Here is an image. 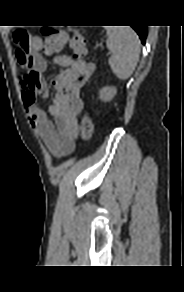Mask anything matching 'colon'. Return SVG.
Here are the masks:
<instances>
[{"mask_svg": "<svg viewBox=\"0 0 184 292\" xmlns=\"http://www.w3.org/2000/svg\"><path fill=\"white\" fill-rule=\"evenodd\" d=\"M42 35L44 38L42 49L47 55L60 52L67 42L73 50L75 58H83L87 55L85 39L78 31H73L72 36L68 39L65 31L44 27L42 28ZM13 38L20 52L22 54L26 53L30 42L29 34L25 30H16ZM80 131L81 137L84 140H88L93 133V121L88 114H84L81 119Z\"/></svg>", "mask_w": 184, "mask_h": 292, "instance_id": "5ec220e1", "label": "colon"}]
</instances>
